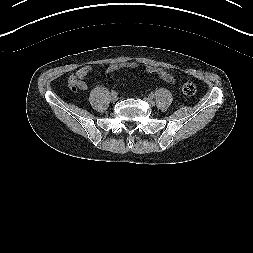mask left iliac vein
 I'll return each mask as SVG.
<instances>
[{
  "mask_svg": "<svg viewBox=\"0 0 253 253\" xmlns=\"http://www.w3.org/2000/svg\"><path fill=\"white\" fill-rule=\"evenodd\" d=\"M144 100L147 101L152 106L155 104V102L152 100V98H145Z\"/></svg>",
  "mask_w": 253,
  "mask_h": 253,
  "instance_id": "1",
  "label": "left iliac vein"
}]
</instances>
